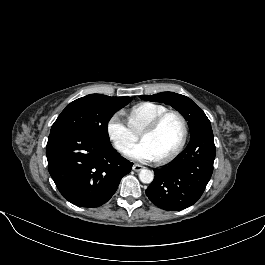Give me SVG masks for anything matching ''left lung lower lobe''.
<instances>
[{
  "label": "left lung lower lobe",
  "instance_id": "obj_1",
  "mask_svg": "<svg viewBox=\"0 0 265 265\" xmlns=\"http://www.w3.org/2000/svg\"><path fill=\"white\" fill-rule=\"evenodd\" d=\"M215 159L212 128L191 134L185 150L170 164L154 169L148 198L167 211H179L198 201L209 182Z\"/></svg>",
  "mask_w": 265,
  "mask_h": 265
}]
</instances>
